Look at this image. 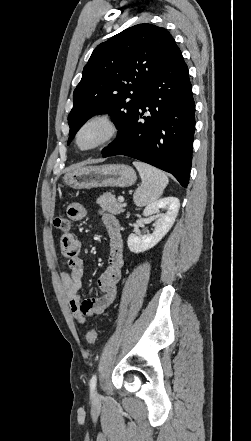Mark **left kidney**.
Returning <instances> with one entry per match:
<instances>
[{"mask_svg": "<svg viewBox=\"0 0 251 441\" xmlns=\"http://www.w3.org/2000/svg\"><path fill=\"white\" fill-rule=\"evenodd\" d=\"M180 208V201L176 197H166L149 204L143 211L145 217L155 220L154 231L145 236L130 234L127 240L128 248L133 253H141L153 248L171 229ZM165 213L155 216L159 210Z\"/></svg>", "mask_w": 251, "mask_h": 441, "instance_id": "left-kidney-1", "label": "left kidney"}]
</instances>
